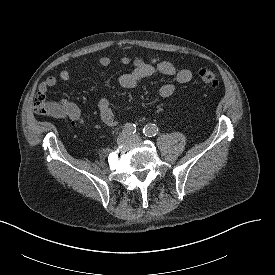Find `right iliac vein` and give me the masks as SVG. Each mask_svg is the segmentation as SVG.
Here are the masks:
<instances>
[{"label":"right iliac vein","mask_w":275,"mask_h":275,"mask_svg":"<svg viewBox=\"0 0 275 275\" xmlns=\"http://www.w3.org/2000/svg\"><path fill=\"white\" fill-rule=\"evenodd\" d=\"M130 140H131V137L127 133H125V132L121 133L119 135L118 139H117V141H118L119 144L126 143V142H128Z\"/></svg>","instance_id":"63e3f726"}]
</instances>
